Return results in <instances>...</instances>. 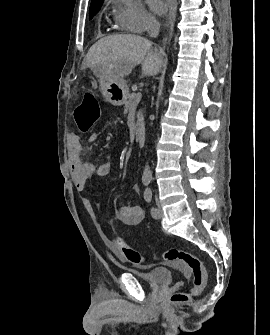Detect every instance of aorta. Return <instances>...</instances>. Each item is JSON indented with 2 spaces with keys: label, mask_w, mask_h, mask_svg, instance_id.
Returning <instances> with one entry per match:
<instances>
[{
  "label": "aorta",
  "mask_w": 270,
  "mask_h": 335,
  "mask_svg": "<svg viewBox=\"0 0 270 335\" xmlns=\"http://www.w3.org/2000/svg\"><path fill=\"white\" fill-rule=\"evenodd\" d=\"M162 88H163V86H160V90L158 92V98H160V96H162ZM142 179H152V171L150 169V166H145L144 171H143V175H142Z\"/></svg>",
  "instance_id": "1"
}]
</instances>
